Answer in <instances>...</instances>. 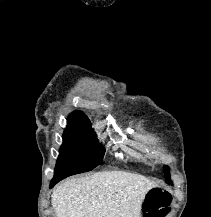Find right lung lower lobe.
I'll use <instances>...</instances> for the list:
<instances>
[{
	"label": "right lung lower lobe",
	"instance_id": "98d812e1",
	"mask_svg": "<svg viewBox=\"0 0 211 217\" xmlns=\"http://www.w3.org/2000/svg\"><path fill=\"white\" fill-rule=\"evenodd\" d=\"M60 180H62V179H53L52 181H51V184H50V188H52L55 184H57Z\"/></svg>",
	"mask_w": 211,
	"mask_h": 217
}]
</instances>
